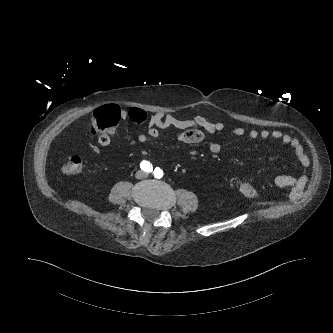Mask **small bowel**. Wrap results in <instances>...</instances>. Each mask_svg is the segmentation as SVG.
<instances>
[{"label":"small bowel","instance_id":"obj_1","mask_svg":"<svg viewBox=\"0 0 333 333\" xmlns=\"http://www.w3.org/2000/svg\"><path fill=\"white\" fill-rule=\"evenodd\" d=\"M119 117L124 120H130L137 123L142 129H147L146 132L140 133L137 140L140 143H146L150 138H160L163 130L167 128H175L180 130L175 135V139L184 144H197L204 140L205 134L216 136L226 130V125L223 122H212L204 116L197 115L191 119H182L165 113H155L148 115L144 110L133 107L129 110H120ZM231 133L236 137H243L247 135L250 139L255 140L258 138L269 139L273 138L281 141L291 147L297 160L299 161L303 170L309 166V159L304 152V147L301 142L284 133L280 130H257L250 129L246 131L241 126H235L231 129ZM117 142V136L113 132H101L96 139V144L100 148L113 146ZM208 149L212 154H218L222 150V143L218 140H213L208 144ZM305 182L304 176H280L276 179V184L281 187H288L292 195L296 194Z\"/></svg>","mask_w":333,"mask_h":333}]
</instances>
